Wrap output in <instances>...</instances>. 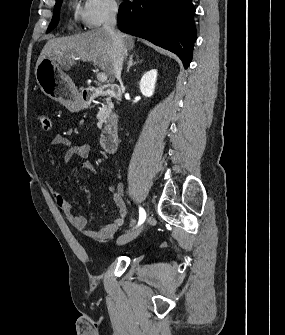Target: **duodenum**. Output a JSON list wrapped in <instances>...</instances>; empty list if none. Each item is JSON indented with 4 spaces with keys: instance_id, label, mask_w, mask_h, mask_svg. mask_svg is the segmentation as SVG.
Returning <instances> with one entry per match:
<instances>
[{
    "instance_id": "obj_1",
    "label": "duodenum",
    "mask_w": 285,
    "mask_h": 335,
    "mask_svg": "<svg viewBox=\"0 0 285 335\" xmlns=\"http://www.w3.org/2000/svg\"><path fill=\"white\" fill-rule=\"evenodd\" d=\"M98 96L119 99L121 89L115 84H107L102 87L87 88L83 91V100L85 102H90ZM100 143L108 153H113L117 150L119 145V120L116 115H111L104 124L100 134Z\"/></svg>"
}]
</instances>
